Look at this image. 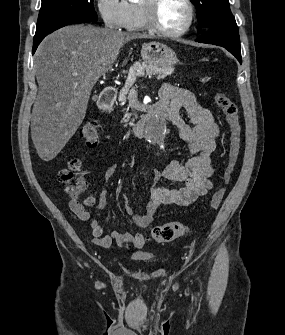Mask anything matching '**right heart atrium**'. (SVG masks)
I'll return each mask as SVG.
<instances>
[{"instance_id":"1","label":"right heart atrium","mask_w":285,"mask_h":335,"mask_svg":"<svg viewBox=\"0 0 285 335\" xmlns=\"http://www.w3.org/2000/svg\"><path fill=\"white\" fill-rule=\"evenodd\" d=\"M99 10L106 27L120 30L125 27L130 9L125 1H100Z\"/></svg>"}]
</instances>
